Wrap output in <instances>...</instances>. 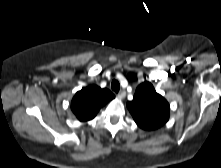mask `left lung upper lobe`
Masks as SVG:
<instances>
[{"label":"left lung upper lobe","instance_id":"left-lung-upper-lobe-1","mask_svg":"<svg viewBox=\"0 0 221 168\" xmlns=\"http://www.w3.org/2000/svg\"><path fill=\"white\" fill-rule=\"evenodd\" d=\"M136 124L144 130H154L169 119V104L158 94L150 82L140 84L134 98L127 103Z\"/></svg>","mask_w":221,"mask_h":168}]
</instances>
